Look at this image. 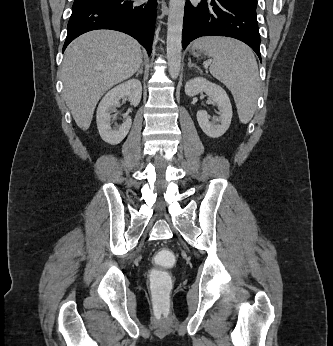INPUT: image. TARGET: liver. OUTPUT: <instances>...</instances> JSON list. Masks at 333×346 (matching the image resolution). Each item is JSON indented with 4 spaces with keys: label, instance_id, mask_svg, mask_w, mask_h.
Here are the masks:
<instances>
[{
    "label": "liver",
    "instance_id": "liver-1",
    "mask_svg": "<svg viewBox=\"0 0 333 346\" xmlns=\"http://www.w3.org/2000/svg\"><path fill=\"white\" fill-rule=\"evenodd\" d=\"M141 63L139 43L117 31H91L70 43L62 64L63 95L79 128L90 127L102 95L131 77Z\"/></svg>",
    "mask_w": 333,
    "mask_h": 346
}]
</instances>
